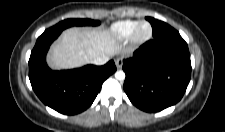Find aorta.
<instances>
[{"label":"aorta","instance_id":"1","mask_svg":"<svg viewBox=\"0 0 225 132\" xmlns=\"http://www.w3.org/2000/svg\"><path fill=\"white\" fill-rule=\"evenodd\" d=\"M115 78H116L117 80H120V81L124 80V79H125V72L122 71V70L117 71V72L115 73Z\"/></svg>","mask_w":225,"mask_h":132}]
</instances>
